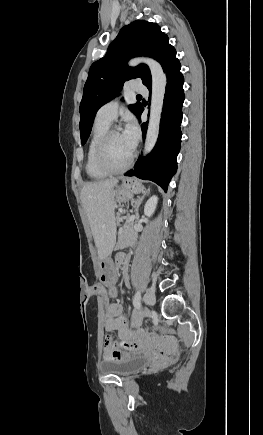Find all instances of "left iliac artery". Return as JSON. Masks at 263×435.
Instances as JSON below:
<instances>
[{"label": "left iliac artery", "mask_w": 263, "mask_h": 435, "mask_svg": "<svg viewBox=\"0 0 263 435\" xmlns=\"http://www.w3.org/2000/svg\"><path fill=\"white\" fill-rule=\"evenodd\" d=\"M140 300H141V294H140V291H137L135 296H134V299H133V305L137 309H139L141 307V301Z\"/></svg>", "instance_id": "44dca946"}]
</instances>
